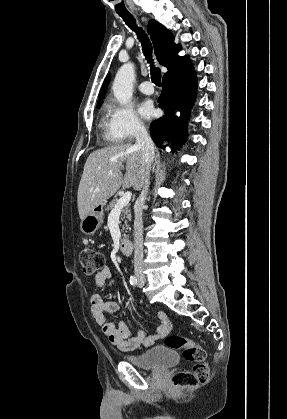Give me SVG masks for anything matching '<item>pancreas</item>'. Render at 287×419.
<instances>
[{
	"label": "pancreas",
	"instance_id": "cf45deb5",
	"mask_svg": "<svg viewBox=\"0 0 287 419\" xmlns=\"http://www.w3.org/2000/svg\"><path fill=\"white\" fill-rule=\"evenodd\" d=\"M117 199H115V200H113V201H111L110 203H109V205H107V207H106V211H109V210H112L114 207H115V205H116V203H117ZM121 220L122 221H124L125 222V226L126 227H128V225H127V220H131V209H130V204H127L123 209H122V211H121ZM125 227L123 226V229H124Z\"/></svg>",
	"mask_w": 287,
	"mask_h": 419
}]
</instances>
